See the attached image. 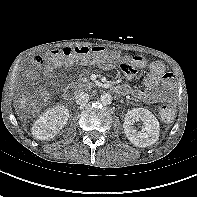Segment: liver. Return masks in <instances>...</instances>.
I'll return each instance as SVG.
<instances>
[{"mask_svg":"<svg viewBox=\"0 0 197 197\" xmlns=\"http://www.w3.org/2000/svg\"><path fill=\"white\" fill-rule=\"evenodd\" d=\"M18 102H19V108L24 109L25 104L27 103V98L23 95Z\"/></svg>","mask_w":197,"mask_h":197,"instance_id":"liver-1","label":"liver"}]
</instances>
